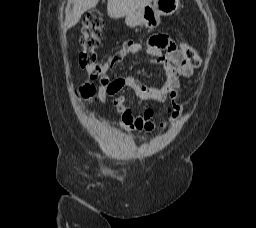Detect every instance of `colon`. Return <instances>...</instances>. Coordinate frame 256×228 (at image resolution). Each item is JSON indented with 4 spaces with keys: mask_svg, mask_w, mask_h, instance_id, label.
<instances>
[{
    "mask_svg": "<svg viewBox=\"0 0 256 228\" xmlns=\"http://www.w3.org/2000/svg\"><path fill=\"white\" fill-rule=\"evenodd\" d=\"M103 28V19L98 11L87 13L82 26L80 44L82 51L79 55V63L82 68L86 69L89 77L93 80L99 79L103 74V65L98 61L97 48L100 44V35ZM182 56L188 61L191 67L201 65V57L195 50L186 43L179 45ZM80 94L85 99H91L95 89L90 84H85L79 88Z\"/></svg>",
    "mask_w": 256,
    "mask_h": 228,
    "instance_id": "1",
    "label": "colon"
}]
</instances>
